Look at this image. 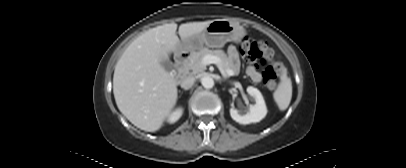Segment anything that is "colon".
<instances>
[{
  "instance_id": "colon-1",
  "label": "colon",
  "mask_w": 406,
  "mask_h": 168,
  "mask_svg": "<svg viewBox=\"0 0 406 168\" xmlns=\"http://www.w3.org/2000/svg\"><path fill=\"white\" fill-rule=\"evenodd\" d=\"M243 59L250 63L264 66L263 82L267 88L273 90L277 86V79L282 74V67L274 58L272 51L262 41L244 37L240 45Z\"/></svg>"
}]
</instances>
